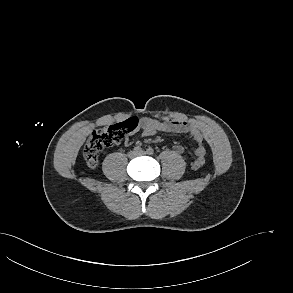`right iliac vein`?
I'll list each match as a JSON object with an SVG mask.
<instances>
[{
	"label": "right iliac vein",
	"instance_id": "obj_1",
	"mask_svg": "<svg viewBox=\"0 0 293 293\" xmlns=\"http://www.w3.org/2000/svg\"><path fill=\"white\" fill-rule=\"evenodd\" d=\"M128 155H129L130 158H133V157H135L137 155V153L135 151H131V152H129Z\"/></svg>",
	"mask_w": 293,
	"mask_h": 293
}]
</instances>
